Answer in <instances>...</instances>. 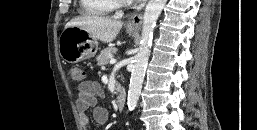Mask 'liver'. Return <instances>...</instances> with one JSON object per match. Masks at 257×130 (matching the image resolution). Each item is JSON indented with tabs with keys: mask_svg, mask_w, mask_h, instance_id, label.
I'll use <instances>...</instances> for the list:
<instances>
[{
	"mask_svg": "<svg viewBox=\"0 0 257 130\" xmlns=\"http://www.w3.org/2000/svg\"><path fill=\"white\" fill-rule=\"evenodd\" d=\"M80 27L92 38L104 43L112 42L123 26V22L107 17L85 15L72 19L65 27Z\"/></svg>",
	"mask_w": 257,
	"mask_h": 130,
	"instance_id": "6515ba94",
	"label": "liver"
}]
</instances>
